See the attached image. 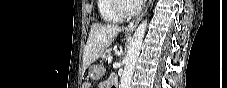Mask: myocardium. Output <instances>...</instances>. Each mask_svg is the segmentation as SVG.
Listing matches in <instances>:
<instances>
[{"label": "myocardium", "instance_id": "obj_1", "mask_svg": "<svg viewBox=\"0 0 227 88\" xmlns=\"http://www.w3.org/2000/svg\"><path fill=\"white\" fill-rule=\"evenodd\" d=\"M130 0H116L114 3V10L121 18H129L136 15L140 9L139 7L134 6L132 9L127 8V3Z\"/></svg>", "mask_w": 227, "mask_h": 88}]
</instances>
